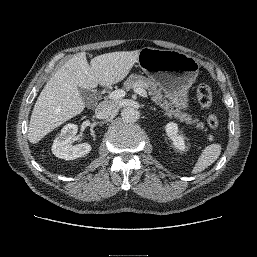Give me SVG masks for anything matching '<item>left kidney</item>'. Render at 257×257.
I'll return each mask as SVG.
<instances>
[{"mask_svg":"<svg viewBox=\"0 0 257 257\" xmlns=\"http://www.w3.org/2000/svg\"><path fill=\"white\" fill-rule=\"evenodd\" d=\"M165 130L168 137L172 140L174 147L179 150H184L186 147L185 140L184 137L179 134L177 124L170 122L166 125Z\"/></svg>","mask_w":257,"mask_h":257,"instance_id":"obj_1","label":"left kidney"}]
</instances>
